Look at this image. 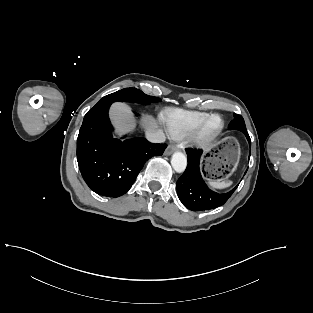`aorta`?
Here are the masks:
<instances>
[{"mask_svg": "<svg viewBox=\"0 0 313 313\" xmlns=\"http://www.w3.org/2000/svg\"><path fill=\"white\" fill-rule=\"evenodd\" d=\"M171 165L177 173L185 171L187 166V158L182 152H175L171 158Z\"/></svg>", "mask_w": 313, "mask_h": 313, "instance_id": "762f6f07", "label": "aorta"}]
</instances>
